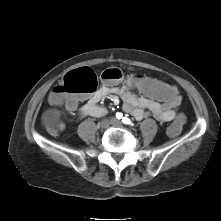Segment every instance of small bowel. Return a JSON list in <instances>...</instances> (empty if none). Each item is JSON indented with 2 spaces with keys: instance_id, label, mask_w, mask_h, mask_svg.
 <instances>
[{
  "instance_id": "1",
  "label": "small bowel",
  "mask_w": 221,
  "mask_h": 221,
  "mask_svg": "<svg viewBox=\"0 0 221 221\" xmlns=\"http://www.w3.org/2000/svg\"><path fill=\"white\" fill-rule=\"evenodd\" d=\"M174 88L176 89L174 101L170 104H161L158 101H152L145 95H137L131 88L105 84L99 87L92 95L88 97L83 96L86 102L82 106H78V98H75L67 105V109L77 112L81 118L86 116L100 117L106 114V109L99 106V102L110 95L116 94L123 100L124 110L134 118L140 120L153 116L161 122H171L172 118L177 114L176 109L181 103L179 90L176 86Z\"/></svg>"
}]
</instances>
